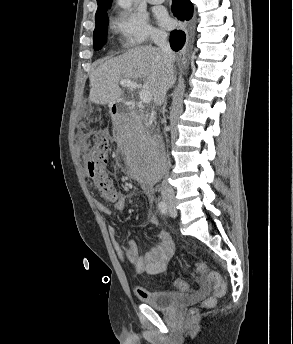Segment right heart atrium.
I'll return each instance as SVG.
<instances>
[{
    "instance_id": "right-heart-atrium-1",
    "label": "right heart atrium",
    "mask_w": 293,
    "mask_h": 344,
    "mask_svg": "<svg viewBox=\"0 0 293 344\" xmlns=\"http://www.w3.org/2000/svg\"><path fill=\"white\" fill-rule=\"evenodd\" d=\"M110 27L120 44L128 50L143 48L147 43L164 37L162 31L152 27L146 17L132 10H119L111 18Z\"/></svg>"
}]
</instances>
